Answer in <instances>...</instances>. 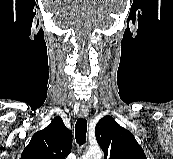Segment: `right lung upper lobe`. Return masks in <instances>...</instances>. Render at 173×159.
Wrapping results in <instances>:
<instances>
[{
	"instance_id": "cb5924a9",
	"label": "right lung upper lobe",
	"mask_w": 173,
	"mask_h": 159,
	"mask_svg": "<svg viewBox=\"0 0 173 159\" xmlns=\"http://www.w3.org/2000/svg\"><path fill=\"white\" fill-rule=\"evenodd\" d=\"M72 147V132L66 128L61 117H55L41 131L36 132L21 159H65Z\"/></svg>"
}]
</instances>
